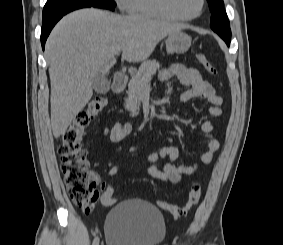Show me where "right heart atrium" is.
Returning <instances> with one entry per match:
<instances>
[{
	"label": "right heart atrium",
	"instance_id": "1",
	"mask_svg": "<svg viewBox=\"0 0 283 245\" xmlns=\"http://www.w3.org/2000/svg\"><path fill=\"white\" fill-rule=\"evenodd\" d=\"M120 10H126L129 0H114Z\"/></svg>",
	"mask_w": 283,
	"mask_h": 245
}]
</instances>
